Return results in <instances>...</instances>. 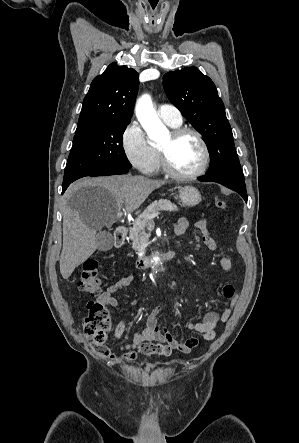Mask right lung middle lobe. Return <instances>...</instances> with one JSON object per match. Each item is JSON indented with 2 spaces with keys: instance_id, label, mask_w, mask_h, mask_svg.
Wrapping results in <instances>:
<instances>
[{
  "instance_id": "obj_1",
  "label": "right lung middle lobe",
  "mask_w": 299,
  "mask_h": 443,
  "mask_svg": "<svg viewBox=\"0 0 299 443\" xmlns=\"http://www.w3.org/2000/svg\"><path fill=\"white\" fill-rule=\"evenodd\" d=\"M129 123L110 121L76 130L63 184L107 168H131L122 147V136Z\"/></svg>"
}]
</instances>
